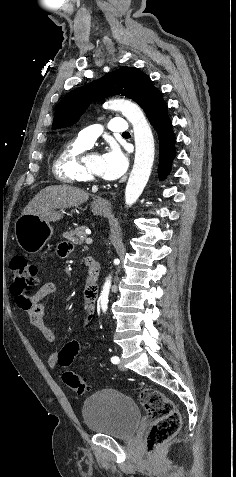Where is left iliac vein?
I'll use <instances>...</instances> for the list:
<instances>
[{"label":"left iliac vein","instance_id":"obj_1","mask_svg":"<svg viewBox=\"0 0 236 477\" xmlns=\"http://www.w3.org/2000/svg\"><path fill=\"white\" fill-rule=\"evenodd\" d=\"M118 368H119L121 371H125V366H124L123 361H121V362L119 363Z\"/></svg>","mask_w":236,"mask_h":477}]
</instances>
